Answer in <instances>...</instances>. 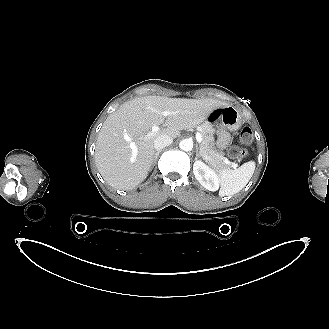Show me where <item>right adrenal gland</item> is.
Segmentation results:
<instances>
[{
	"label": "right adrenal gland",
	"mask_w": 329,
	"mask_h": 329,
	"mask_svg": "<svg viewBox=\"0 0 329 329\" xmlns=\"http://www.w3.org/2000/svg\"><path fill=\"white\" fill-rule=\"evenodd\" d=\"M160 152H161V151L158 150V151L155 153V156H154V163H156V161H157V157H158V155H159Z\"/></svg>",
	"instance_id": "obj_1"
}]
</instances>
